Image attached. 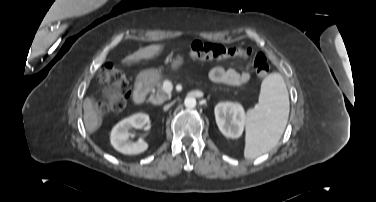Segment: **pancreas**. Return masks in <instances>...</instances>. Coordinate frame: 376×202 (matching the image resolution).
Returning a JSON list of instances; mask_svg holds the SVG:
<instances>
[{"label":"pancreas","mask_w":376,"mask_h":202,"mask_svg":"<svg viewBox=\"0 0 376 202\" xmlns=\"http://www.w3.org/2000/svg\"><path fill=\"white\" fill-rule=\"evenodd\" d=\"M164 80L162 78H157L149 83L152 94L149 97V101L153 104H162L165 100L169 98L163 88Z\"/></svg>","instance_id":"obj_1"}]
</instances>
